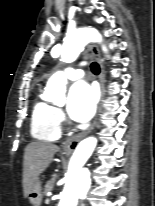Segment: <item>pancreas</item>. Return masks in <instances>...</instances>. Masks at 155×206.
<instances>
[{"label":"pancreas","instance_id":"pancreas-1","mask_svg":"<svg viewBox=\"0 0 155 206\" xmlns=\"http://www.w3.org/2000/svg\"><path fill=\"white\" fill-rule=\"evenodd\" d=\"M56 177L53 176L51 179H49L45 185V192L51 191L53 189L54 183H55Z\"/></svg>","mask_w":155,"mask_h":206}]
</instances>
